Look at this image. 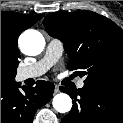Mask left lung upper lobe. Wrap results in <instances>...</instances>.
<instances>
[{
  "instance_id": "obj_1",
  "label": "left lung upper lobe",
  "mask_w": 123,
  "mask_h": 123,
  "mask_svg": "<svg viewBox=\"0 0 123 123\" xmlns=\"http://www.w3.org/2000/svg\"><path fill=\"white\" fill-rule=\"evenodd\" d=\"M50 36L63 42L68 67L84 83L123 87V30L90 11L50 14L43 22Z\"/></svg>"
}]
</instances>
